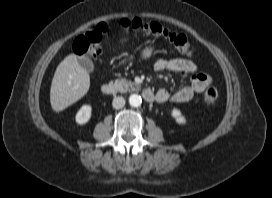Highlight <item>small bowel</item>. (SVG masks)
<instances>
[{
	"label": "small bowel",
	"mask_w": 272,
	"mask_h": 198,
	"mask_svg": "<svg viewBox=\"0 0 272 198\" xmlns=\"http://www.w3.org/2000/svg\"><path fill=\"white\" fill-rule=\"evenodd\" d=\"M155 69L159 71H172L179 73L184 77H189L188 84L181 87L174 93H170L165 89L158 90L155 97L158 103L188 102L194 97L195 94L202 93L213 83V79L210 75L199 73L196 64L184 58H159L155 62Z\"/></svg>",
	"instance_id": "1"
}]
</instances>
